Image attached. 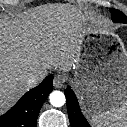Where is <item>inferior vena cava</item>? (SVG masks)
<instances>
[{
	"mask_svg": "<svg viewBox=\"0 0 127 127\" xmlns=\"http://www.w3.org/2000/svg\"><path fill=\"white\" fill-rule=\"evenodd\" d=\"M46 75H47L46 71H40L37 74L30 76L27 81V86L29 88L34 87L36 84L42 81L46 77Z\"/></svg>",
	"mask_w": 127,
	"mask_h": 127,
	"instance_id": "inferior-vena-cava-1",
	"label": "inferior vena cava"
}]
</instances>
